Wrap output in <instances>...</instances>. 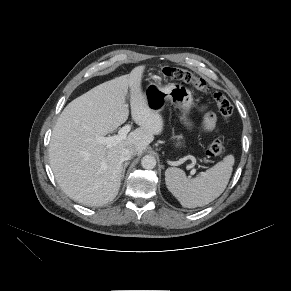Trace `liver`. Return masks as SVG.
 <instances>
[{"label":"liver","instance_id":"obj_1","mask_svg":"<svg viewBox=\"0 0 291 291\" xmlns=\"http://www.w3.org/2000/svg\"><path fill=\"white\" fill-rule=\"evenodd\" d=\"M145 66L104 82L71 101L57 119L49 146L50 166L63 192L88 206L112 201L121 185V153L133 148L141 154L163 129L159 112L147 105L141 90ZM140 126L118 144L107 147L96 137L112 133L129 115Z\"/></svg>","mask_w":291,"mask_h":291}]
</instances>
